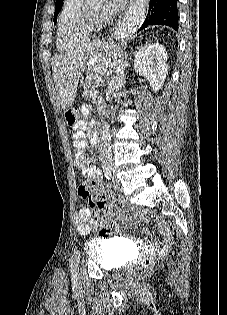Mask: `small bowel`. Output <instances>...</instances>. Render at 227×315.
<instances>
[{
    "label": "small bowel",
    "instance_id": "obj_1",
    "mask_svg": "<svg viewBox=\"0 0 227 315\" xmlns=\"http://www.w3.org/2000/svg\"><path fill=\"white\" fill-rule=\"evenodd\" d=\"M73 155L75 166L81 171L82 175L90 179V183L96 187H105L102 182V174L100 170L91 165L86 157L85 149L87 142L85 140L84 125L82 123L75 126L73 133ZM112 214L110 221H123L129 212V208L124 201H120L118 206L114 205L113 198L110 204ZM74 224L78 232L81 234L93 233L99 226L98 221L93 219L92 213L89 208L83 207L75 215ZM159 232L165 238L159 243H153V248L157 251L165 250L171 243L168 227L164 224L159 226Z\"/></svg>",
    "mask_w": 227,
    "mask_h": 315
}]
</instances>
